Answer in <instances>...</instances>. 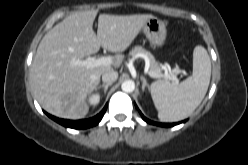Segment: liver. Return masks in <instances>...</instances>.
I'll return each instance as SVG.
<instances>
[{
    "label": "liver",
    "mask_w": 248,
    "mask_h": 165,
    "mask_svg": "<svg viewBox=\"0 0 248 165\" xmlns=\"http://www.w3.org/2000/svg\"><path fill=\"white\" fill-rule=\"evenodd\" d=\"M97 13V10L72 13L49 30L39 43L29 79L35 98L52 115L69 119L84 117L89 110L87 96L96 89L101 75L122 64L121 53L154 17L100 14L96 34L93 22ZM100 47L116 53L113 66L86 68L72 64L74 60L97 53Z\"/></svg>",
    "instance_id": "obj_1"
}]
</instances>
